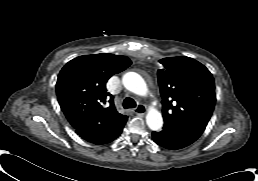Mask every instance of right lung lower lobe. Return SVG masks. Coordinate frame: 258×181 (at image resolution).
<instances>
[{
  "label": "right lung lower lobe",
  "instance_id": "98d812e1",
  "mask_svg": "<svg viewBox=\"0 0 258 181\" xmlns=\"http://www.w3.org/2000/svg\"><path fill=\"white\" fill-rule=\"evenodd\" d=\"M126 121L127 117L76 132L88 142L97 145L106 144L116 139L121 134Z\"/></svg>",
  "mask_w": 258,
  "mask_h": 181
}]
</instances>
